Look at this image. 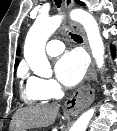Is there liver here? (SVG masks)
I'll use <instances>...</instances> for the list:
<instances>
[{
	"instance_id": "1",
	"label": "liver",
	"mask_w": 117,
	"mask_h": 131,
	"mask_svg": "<svg viewBox=\"0 0 117 131\" xmlns=\"http://www.w3.org/2000/svg\"><path fill=\"white\" fill-rule=\"evenodd\" d=\"M59 111L58 105L30 106L19 109L13 116L10 131H25L28 128H42L54 123Z\"/></svg>"
}]
</instances>
